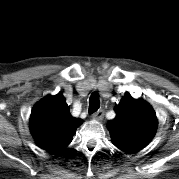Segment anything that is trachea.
Returning <instances> with one entry per match:
<instances>
[{
	"label": "trachea",
	"mask_w": 179,
	"mask_h": 179,
	"mask_svg": "<svg viewBox=\"0 0 179 179\" xmlns=\"http://www.w3.org/2000/svg\"><path fill=\"white\" fill-rule=\"evenodd\" d=\"M100 107L99 94L93 92L89 98V114L96 112Z\"/></svg>",
	"instance_id": "trachea-1"
}]
</instances>
